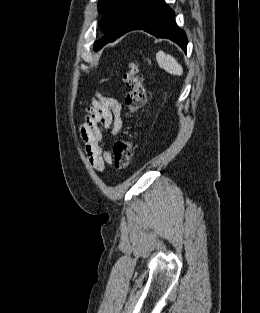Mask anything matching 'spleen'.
I'll return each instance as SVG.
<instances>
[{
    "label": "spleen",
    "instance_id": "obj_1",
    "mask_svg": "<svg viewBox=\"0 0 260 313\" xmlns=\"http://www.w3.org/2000/svg\"><path fill=\"white\" fill-rule=\"evenodd\" d=\"M156 60L159 66L169 74L177 76H181L183 74L182 66L173 56L166 54L163 51H158L156 54Z\"/></svg>",
    "mask_w": 260,
    "mask_h": 313
}]
</instances>
